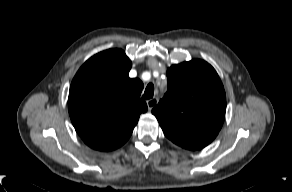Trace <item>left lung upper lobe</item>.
<instances>
[{"mask_svg": "<svg viewBox=\"0 0 292 192\" xmlns=\"http://www.w3.org/2000/svg\"><path fill=\"white\" fill-rule=\"evenodd\" d=\"M168 92L152 113L175 144L199 150L218 135L226 111L222 82L214 68L194 59L167 70Z\"/></svg>", "mask_w": 292, "mask_h": 192, "instance_id": "5c2ea615", "label": "left lung upper lobe"}]
</instances>
